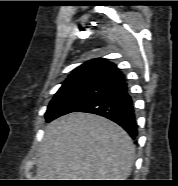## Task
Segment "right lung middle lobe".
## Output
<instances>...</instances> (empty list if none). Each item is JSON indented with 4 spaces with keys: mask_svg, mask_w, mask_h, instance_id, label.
<instances>
[{
    "mask_svg": "<svg viewBox=\"0 0 178 186\" xmlns=\"http://www.w3.org/2000/svg\"><path fill=\"white\" fill-rule=\"evenodd\" d=\"M109 87L106 84H89L59 90L51 100L46 111L45 117L47 122L76 111L102 94Z\"/></svg>",
    "mask_w": 178,
    "mask_h": 186,
    "instance_id": "1",
    "label": "right lung middle lobe"
}]
</instances>
